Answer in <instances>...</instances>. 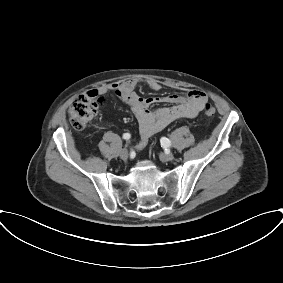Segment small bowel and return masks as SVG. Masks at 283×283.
Segmentation results:
<instances>
[{
	"mask_svg": "<svg viewBox=\"0 0 283 283\" xmlns=\"http://www.w3.org/2000/svg\"><path fill=\"white\" fill-rule=\"evenodd\" d=\"M146 84L153 91H159L162 88L161 84L154 79L148 80ZM137 85L138 81L131 79L106 84L90 91L98 95L113 93L131 108L140 127V140L135 150L143 149L152 135L172 122L197 116L208 101L207 95L200 90H191L186 95L171 94L163 97L142 98L136 93ZM162 103L172 104V106L151 109L153 105Z\"/></svg>",
	"mask_w": 283,
	"mask_h": 283,
	"instance_id": "obj_1",
	"label": "small bowel"
}]
</instances>
